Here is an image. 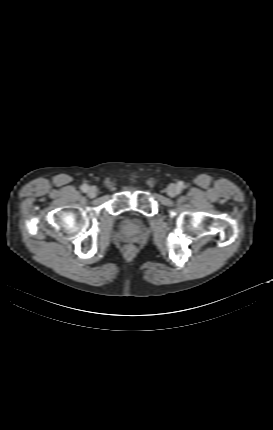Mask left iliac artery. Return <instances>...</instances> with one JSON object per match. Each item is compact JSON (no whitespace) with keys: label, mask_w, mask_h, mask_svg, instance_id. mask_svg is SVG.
I'll return each instance as SVG.
<instances>
[{"label":"left iliac artery","mask_w":273,"mask_h":430,"mask_svg":"<svg viewBox=\"0 0 273 430\" xmlns=\"http://www.w3.org/2000/svg\"><path fill=\"white\" fill-rule=\"evenodd\" d=\"M180 187H181V188H183V187H184L183 183H180Z\"/></svg>","instance_id":"44dca946"}]
</instances>
